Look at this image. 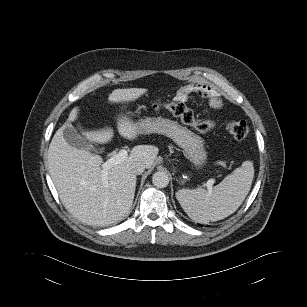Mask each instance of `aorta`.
Instances as JSON below:
<instances>
[{"label": "aorta", "mask_w": 307, "mask_h": 307, "mask_svg": "<svg viewBox=\"0 0 307 307\" xmlns=\"http://www.w3.org/2000/svg\"><path fill=\"white\" fill-rule=\"evenodd\" d=\"M152 183L158 188L167 187L169 184V176L166 172L157 171L152 176Z\"/></svg>", "instance_id": "762f6f07"}]
</instances>
